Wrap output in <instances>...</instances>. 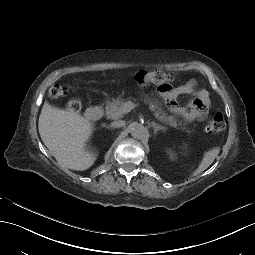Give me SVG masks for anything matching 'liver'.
I'll return each mask as SVG.
<instances>
[{"label": "liver", "mask_w": 255, "mask_h": 255, "mask_svg": "<svg viewBox=\"0 0 255 255\" xmlns=\"http://www.w3.org/2000/svg\"><path fill=\"white\" fill-rule=\"evenodd\" d=\"M38 129L43 143L61 166L84 171L94 164L96 158L84 148L92 133V125L87 119L45 102Z\"/></svg>", "instance_id": "liver-1"}]
</instances>
